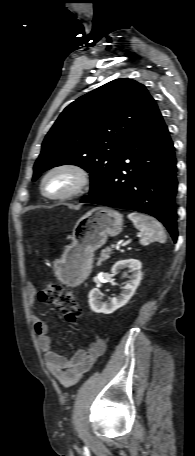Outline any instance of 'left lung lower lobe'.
<instances>
[{
  "label": "left lung lower lobe",
  "mask_w": 195,
  "mask_h": 456,
  "mask_svg": "<svg viewBox=\"0 0 195 456\" xmlns=\"http://www.w3.org/2000/svg\"><path fill=\"white\" fill-rule=\"evenodd\" d=\"M176 158L154 102L128 135L110 174L82 203L135 210L156 217L177 240Z\"/></svg>",
  "instance_id": "left-lung-lower-lobe-1"
}]
</instances>
